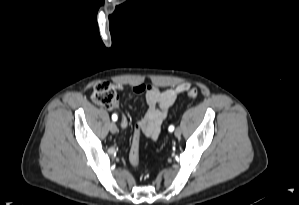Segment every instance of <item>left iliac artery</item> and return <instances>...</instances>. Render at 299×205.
Instances as JSON below:
<instances>
[{
    "instance_id": "44dca946",
    "label": "left iliac artery",
    "mask_w": 299,
    "mask_h": 205,
    "mask_svg": "<svg viewBox=\"0 0 299 205\" xmlns=\"http://www.w3.org/2000/svg\"><path fill=\"white\" fill-rule=\"evenodd\" d=\"M168 130H169L170 132H172V131L174 130V126H173V125H170L169 128H168Z\"/></svg>"
}]
</instances>
